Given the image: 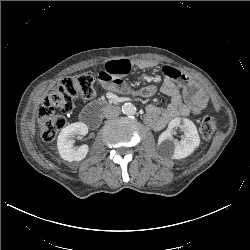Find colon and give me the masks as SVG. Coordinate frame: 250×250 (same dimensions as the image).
Returning a JSON list of instances; mask_svg holds the SVG:
<instances>
[{
  "label": "colon",
  "mask_w": 250,
  "mask_h": 250,
  "mask_svg": "<svg viewBox=\"0 0 250 250\" xmlns=\"http://www.w3.org/2000/svg\"><path fill=\"white\" fill-rule=\"evenodd\" d=\"M94 83L95 75L92 72H84L67 77L54 86L38 111L40 134L45 142L53 141L65 125V119L61 114L71 112L77 100L94 97ZM217 127L216 118L204 117L199 126L200 134L204 139H210Z\"/></svg>",
  "instance_id": "obj_1"
}]
</instances>
